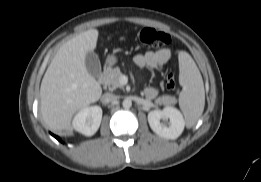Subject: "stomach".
<instances>
[{
    "instance_id": "0dacf381",
    "label": "stomach",
    "mask_w": 261,
    "mask_h": 182,
    "mask_svg": "<svg viewBox=\"0 0 261 182\" xmlns=\"http://www.w3.org/2000/svg\"><path fill=\"white\" fill-rule=\"evenodd\" d=\"M117 63V57L115 55H109L106 59V65L110 68Z\"/></svg>"
}]
</instances>
